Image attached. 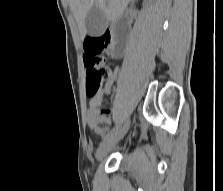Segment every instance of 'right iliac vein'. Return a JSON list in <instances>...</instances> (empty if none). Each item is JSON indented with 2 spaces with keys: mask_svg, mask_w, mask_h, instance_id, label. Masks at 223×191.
Here are the masks:
<instances>
[{
  "mask_svg": "<svg viewBox=\"0 0 223 191\" xmlns=\"http://www.w3.org/2000/svg\"><path fill=\"white\" fill-rule=\"evenodd\" d=\"M129 128V121L119 130L114 132L109 138L105 139L99 146L96 152V159L102 160L110 149L124 136Z\"/></svg>",
  "mask_w": 223,
  "mask_h": 191,
  "instance_id": "obj_1",
  "label": "right iliac vein"
}]
</instances>
